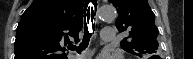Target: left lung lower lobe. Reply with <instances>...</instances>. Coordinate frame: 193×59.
Here are the masks:
<instances>
[{"label": "left lung lower lobe", "mask_w": 193, "mask_h": 59, "mask_svg": "<svg viewBox=\"0 0 193 59\" xmlns=\"http://www.w3.org/2000/svg\"><path fill=\"white\" fill-rule=\"evenodd\" d=\"M151 59H159V57H155V56H153V57H151Z\"/></svg>", "instance_id": "1"}]
</instances>
